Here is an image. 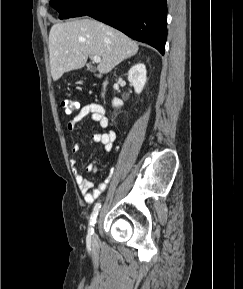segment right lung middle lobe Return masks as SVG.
Here are the masks:
<instances>
[{
  "label": "right lung middle lobe",
  "mask_w": 243,
  "mask_h": 289,
  "mask_svg": "<svg viewBox=\"0 0 243 289\" xmlns=\"http://www.w3.org/2000/svg\"><path fill=\"white\" fill-rule=\"evenodd\" d=\"M87 1L88 0H50V5L59 11L60 19H67Z\"/></svg>",
  "instance_id": "obj_1"
}]
</instances>
